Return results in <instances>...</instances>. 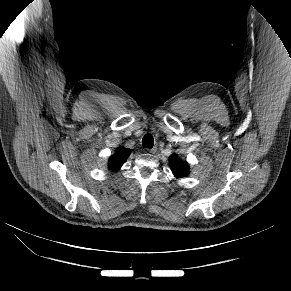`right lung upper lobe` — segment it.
I'll use <instances>...</instances> for the list:
<instances>
[{
	"mask_svg": "<svg viewBox=\"0 0 291 291\" xmlns=\"http://www.w3.org/2000/svg\"><path fill=\"white\" fill-rule=\"evenodd\" d=\"M131 150L124 147H119L115 154L109 158L108 167L112 171H117L126 162Z\"/></svg>",
	"mask_w": 291,
	"mask_h": 291,
	"instance_id": "cb5924a9",
	"label": "right lung upper lobe"
}]
</instances>
